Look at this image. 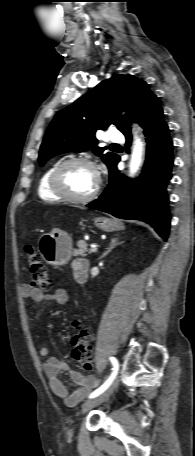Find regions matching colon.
Masks as SVG:
<instances>
[{"label":"colon","instance_id":"5ec220e1","mask_svg":"<svg viewBox=\"0 0 195 456\" xmlns=\"http://www.w3.org/2000/svg\"><path fill=\"white\" fill-rule=\"evenodd\" d=\"M26 255L32 277V287L43 292L48 291L51 287V279L41 256L29 245L26 247ZM71 326L75 330V334L72 337L73 359L84 370L90 371L93 368L90 333L79 320H73Z\"/></svg>","mask_w":195,"mask_h":456}]
</instances>
